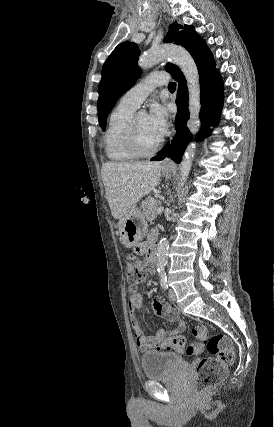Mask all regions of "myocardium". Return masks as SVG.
I'll use <instances>...</instances> for the list:
<instances>
[{
    "label": "myocardium",
    "instance_id": "myocardium-1",
    "mask_svg": "<svg viewBox=\"0 0 274 427\" xmlns=\"http://www.w3.org/2000/svg\"><path fill=\"white\" fill-rule=\"evenodd\" d=\"M139 114V113H138ZM138 114L133 115L131 118L126 131H125V145L127 150L134 158H151L155 156L163 147L164 140L161 139L159 143L150 151L143 152L138 148L137 144V117Z\"/></svg>",
    "mask_w": 274,
    "mask_h": 427
}]
</instances>
